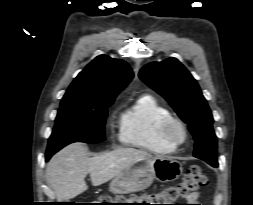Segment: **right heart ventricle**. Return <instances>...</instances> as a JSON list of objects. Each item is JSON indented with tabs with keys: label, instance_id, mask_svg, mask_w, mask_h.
Listing matches in <instances>:
<instances>
[{
	"label": "right heart ventricle",
	"instance_id": "1",
	"mask_svg": "<svg viewBox=\"0 0 253 205\" xmlns=\"http://www.w3.org/2000/svg\"><path fill=\"white\" fill-rule=\"evenodd\" d=\"M172 117L169 108L157 98L141 95L120 115L119 140L126 146L152 153H171L176 147L162 140L160 129Z\"/></svg>",
	"mask_w": 253,
	"mask_h": 205
}]
</instances>
